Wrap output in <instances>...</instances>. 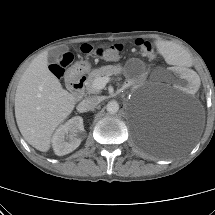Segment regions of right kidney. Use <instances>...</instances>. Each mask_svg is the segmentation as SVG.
Segmentation results:
<instances>
[{"label": "right kidney", "instance_id": "ca27d5eb", "mask_svg": "<svg viewBox=\"0 0 215 215\" xmlns=\"http://www.w3.org/2000/svg\"><path fill=\"white\" fill-rule=\"evenodd\" d=\"M84 132L83 118L76 116L61 125L52 137L56 155L62 156L74 151L81 143Z\"/></svg>", "mask_w": 215, "mask_h": 215}]
</instances>
